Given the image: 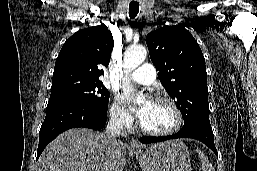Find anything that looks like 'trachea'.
<instances>
[{
  "mask_svg": "<svg viewBox=\"0 0 257 171\" xmlns=\"http://www.w3.org/2000/svg\"><path fill=\"white\" fill-rule=\"evenodd\" d=\"M139 12V3H130L129 5V16L134 19Z\"/></svg>",
  "mask_w": 257,
  "mask_h": 171,
  "instance_id": "obj_1",
  "label": "trachea"
}]
</instances>
